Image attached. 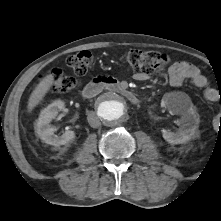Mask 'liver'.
<instances>
[{
  "mask_svg": "<svg viewBox=\"0 0 221 221\" xmlns=\"http://www.w3.org/2000/svg\"><path fill=\"white\" fill-rule=\"evenodd\" d=\"M53 81L54 76L52 74L47 75L40 81L29 97L27 105L28 112L32 111L42 101L51 88Z\"/></svg>",
  "mask_w": 221,
  "mask_h": 221,
  "instance_id": "1",
  "label": "liver"
}]
</instances>
